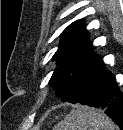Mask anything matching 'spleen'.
<instances>
[{
	"label": "spleen",
	"mask_w": 123,
	"mask_h": 130,
	"mask_svg": "<svg viewBox=\"0 0 123 130\" xmlns=\"http://www.w3.org/2000/svg\"><path fill=\"white\" fill-rule=\"evenodd\" d=\"M54 130H117V126L102 111L78 105Z\"/></svg>",
	"instance_id": "obj_1"
}]
</instances>
